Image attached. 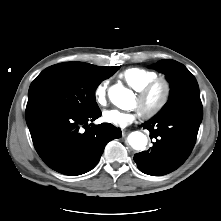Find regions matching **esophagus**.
Listing matches in <instances>:
<instances>
[{
	"label": "esophagus",
	"instance_id": "1",
	"mask_svg": "<svg viewBox=\"0 0 221 221\" xmlns=\"http://www.w3.org/2000/svg\"><path fill=\"white\" fill-rule=\"evenodd\" d=\"M128 133H129V131H127V130H122V136H123V137H125Z\"/></svg>",
	"mask_w": 221,
	"mask_h": 221
}]
</instances>
